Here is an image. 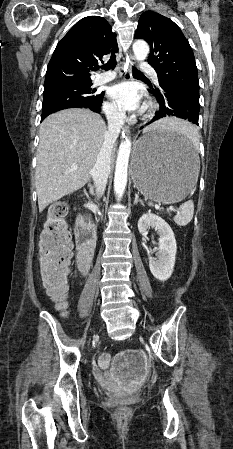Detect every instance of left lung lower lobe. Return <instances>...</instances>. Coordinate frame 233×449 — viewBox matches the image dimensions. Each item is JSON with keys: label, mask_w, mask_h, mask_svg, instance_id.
Segmentation results:
<instances>
[{"label": "left lung lower lobe", "mask_w": 233, "mask_h": 449, "mask_svg": "<svg viewBox=\"0 0 233 449\" xmlns=\"http://www.w3.org/2000/svg\"><path fill=\"white\" fill-rule=\"evenodd\" d=\"M159 85L160 89L150 90L160 104V110L155 113L151 122L166 116H176L198 125L199 98L184 93L165 83H160ZM151 122L147 123V125ZM169 138L177 139L175 137Z\"/></svg>", "instance_id": "obj_1"}]
</instances>
